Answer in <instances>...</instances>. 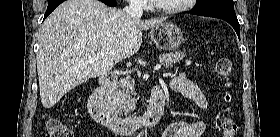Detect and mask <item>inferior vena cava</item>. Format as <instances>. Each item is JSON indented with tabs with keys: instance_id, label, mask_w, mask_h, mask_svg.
I'll return each mask as SVG.
<instances>
[{
	"instance_id": "1",
	"label": "inferior vena cava",
	"mask_w": 280,
	"mask_h": 137,
	"mask_svg": "<svg viewBox=\"0 0 280 137\" xmlns=\"http://www.w3.org/2000/svg\"><path fill=\"white\" fill-rule=\"evenodd\" d=\"M124 12L133 18H141L143 10L139 0H131L129 6L124 8Z\"/></svg>"
}]
</instances>
